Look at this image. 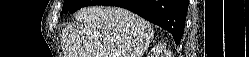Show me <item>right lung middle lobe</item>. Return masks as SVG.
Returning <instances> with one entry per match:
<instances>
[{
    "mask_svg": "<svg viewBox=\"0 0 249 57\" xmlns=\"http://www.w3.org/2000/svg\"><path fill=\"white\" fill-rule=\"evenodd\" d=\"M99 1L101 0H64L61 15L64 13H74L85 6L97 5Z\"/></svg>",
    "mask_w": 249,
    "mask_h": 57,
    "instance_id": "right-lung-middle-lobe-1",
    "label": "right lung middle lobe"
}]
</instances>
